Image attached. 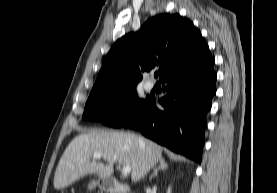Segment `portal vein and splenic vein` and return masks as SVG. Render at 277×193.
I'll return each instance as SVG.
<instances>
[{"mask_svg":"<svg viewBox=\"0 0 277 193\" xmlns=\"http://www.w3.org/2000/svg\"><path fill=\"white\" fill-rule=\"evenodd\" d=\"M101 157H102L101 153H94L92 155L93 159H100ZM121 170L123 174H129L131 172V168L129 166H122Z\"/></svg>","mask_w":277,"mask_h":193,"instance_id":"obj_1","label":"portal vein and splenic vein"}]
</instances>
